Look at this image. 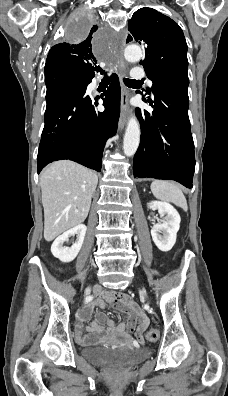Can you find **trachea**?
Returning <instances> with one entry per match:
<instances>
[{"label":"trachea","mask_w":228,"mask_h":396,"mask_svg":"<svg viewBox=\"0 0 228 396\" xmlns=\"http://www.w3.org/2000/svg\"><path fill=\"white\" fill-rule=\"evenodd\" d=\"M97 72H100V74L104 75V77H103L101 82L104 83V84H109V78H108L107 74L105 73V71H103L101 69H98ZM124 83H125V85L130 86V85H133V84H136V83H140V81L139 80H131V79H128V78H124Z\"/></svg>","instance_id":"obj_1"}]
</instances>
